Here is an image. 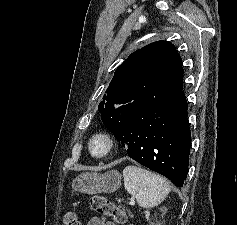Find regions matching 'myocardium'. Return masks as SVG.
<instances>
[{
    "instance_id": "f54148a6",
    "label": "myocardium",
    "mask_w": 237,
    "mask_h": 225,
    "mask_svg": "<svg viewBox=\"0 0 237 225\" xmlns=\"http://www.w3.org/2000/svg\"><path fill=\"white\" fill-rule=\"evenodd\" d=\"M114 145V139L110 134L98 132L89 139L88 150L92 157L102 159L113 151Z\"/></svg>"
}]
</instances>
